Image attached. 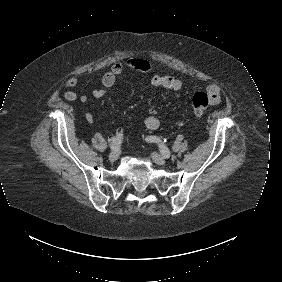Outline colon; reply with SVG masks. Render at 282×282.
<instances>
[{
    "label": "colon",
    "instance_id": "obj_1",
    "mask_svg": "<svg viewBox=\"0 0 282 282\" xmlns=\"http://www.w3.org/2000/svg\"><path fill=\"white\" fill-rule=\"evenodd\" d=\"M214 101L206 92H196L192 97L193 110L198 115L202 114Z\"/></svg>",
    "mask_w": 282,
    "mask_h": 282
}]
</instances>
